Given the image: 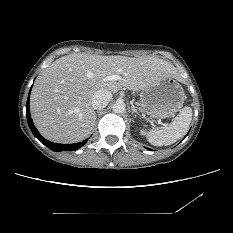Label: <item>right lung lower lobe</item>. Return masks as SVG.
<instances>
[{"mask_svg":"<svg viewBox=\"0 0 233 233\" xmlns=\"http://www.w3.org/2000/svg\"><path fill=\"white\" fill-rule=\"evenodd\" d=\"M31 92V90H30ZM29 98H30V93L28 96V100L26 103V116H27V121H28V125L30 127V130L32 131L33 135L40 140L44 145H46L48 148H50L51 150L55 151V152H59V151H75L77 149H79L80 147H82L84 144H86L87 140H84L82 142H78V143H74V144H57V143H52L46 139H44L40 133L38 132V130L36 129V127L33 124L31 115H30V110H29Z\"/></svg>","mask_w":233,"mask_h":233,"instance_id":"98d812e1","label":"right lung lower lobe"}]
</instances>
